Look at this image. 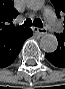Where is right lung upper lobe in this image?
<instances>
[{"label": "right lung upper lobe", "mask_w": 65, "mask_h": 89, "mask_svg": "<svg viewBox=\"0 0 65 89\" xmlns=\"http://www.w3.org/2000/svg\"><path fill=\"white\" fill-rule=\"evenodd\" d=\"M18 12L14 9L12 0H0V37L19 33L22 27H15L12 19L16 18Z\"/></svg>", "instance_id": "right-lung-upper-lobe-1"}]
</instances>
